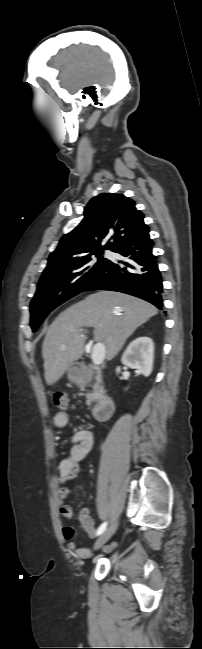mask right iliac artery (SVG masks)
Masks as SVG:
<instances>
[{"mask_svg":"<svg viewBox=\"0 0 202 649\" xmlns=\"http://www.w3.org/2000/svg\"><path fill=\"white\" fill-rule=\"evenodd\" d=\"M107 527V522H104L103 524L100 525V527L97 529V536L101 535Z\"/></svg>","mask_w":202,"mask_h":649,"instance_id":"obj_1","label":"right iliac artery"}]
</instances>
